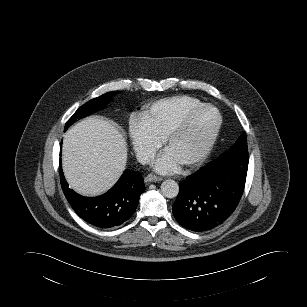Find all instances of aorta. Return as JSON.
<instances>
[{
  "instance_id": "obj_1",
  "label": "aorta",
  "mask_w": 307,
  "mask_h": 307,
  "mask_svg": "<svg viewBox=\"0 0 307 307\" xmlns=\"http://www.w3.org/2000/svg\"><path fill=\"white\" fill-rule=\"evenodd\" d=\"M161 192L167 198H174L179 193V185L174 180H165L161 184Z\"/></svg>"
}]
</instances>
